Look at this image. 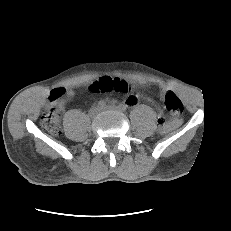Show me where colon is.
<instances>
[{
  "mask_svg": "<svg viewBox=\"0 0 231 231\" xmlns=\"http://www.w3.org/2000/svg\"><path fill=\"white\" fill-rule=\"evenodd\" d=\"M129 89L126 81L121 79L102 78L91 85V90L94 92H121L125 93ZM62 95L60 90H55L51 94V101L58 99ZM165 108L172 116H180L183 111V106L178 96L172 91H167L164 96ZM42 126L52 134L60 133V119L57 110L54 107L48 109L41 117ZM159 128L161 131L166 130L167 126L162 117L159 118Z\"/></svg>",
  "mask_w": 231,
  "mask_h": 231,
  "instance_id": "5ec220e1",
  "label": "colon"
}]
</instances>
